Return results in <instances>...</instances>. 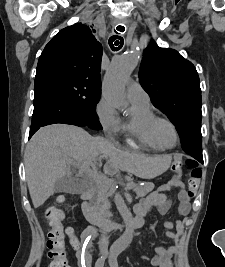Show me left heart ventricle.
Listing matches in <instances>:
<instances>
[{
  "mask_svg": "<svg viewBox=\"0 0 225 267\" xmlns=\"http://www.w3.org/2000/svg\"><path fill=\"white\" fill-rule=\"evenodd\" d=\"M159 137L163 144L167 146L174 145L176 136L173 128L169 124H161L159 127Z\"/></svg>",
  "mask_w": 225,
  "mask_h": 267,
  "instance_id": "left-heart-ventricle-1",
  "label": "left heart ventricle"
}]
</instances>
